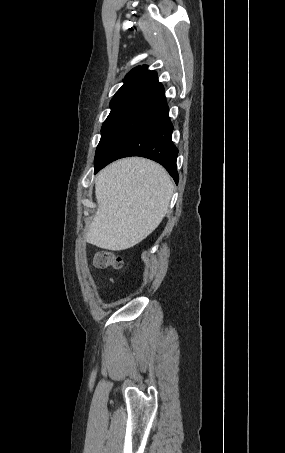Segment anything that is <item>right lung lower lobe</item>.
I'll list each match as a JSON object with an SVG mask.
<instances>
[{
	"label": "right lung lower lobe",
	"mask_w": 285,
	"mask_h": 453,
	"mask_svg": "<svg viewBox=\"0 0 285 453\" xmlns=\"http://www.w3.org/2000/svg\"><path fill=\"white\" fill-rule=\"evenodd\" d=\"M173 125L165 90L158 78L128 97L102 136L95 154V172L110 162L142 156L160 163L176 184L178 149L172 142Z\"/></svg>",
	"instance_id": "1"
}]
</instances>
